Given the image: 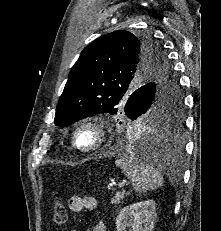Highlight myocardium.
<instances>
[{
	"label": "myocardium",
	"mask_w": 221,
	"mask_h": 231,
	"mask_svg": "<svg viewBox=\"0 0 221 231\" xmlns=\"http://www.w3.org/2000/svg\"><path fill=\"white\" fill-rule=\"evenodd\" d=\"M89 128L95 134V141L89 147H82L79 145L77 141L78 133L83 130ZM107 142V128L105 123L97 117H90L80 121L74 128L72 136H71V143L73 147L81 152V153H92L96 152L97 150L101 149L105 146Z\"/></svg>",
	"instance_id": "1"
}]
</instances>
